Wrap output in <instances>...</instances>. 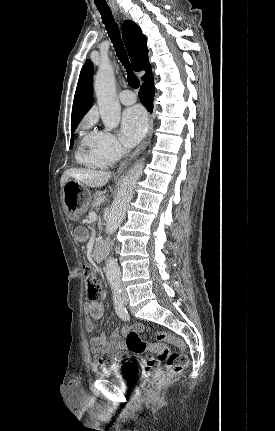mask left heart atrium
<instances>
[{"label":"left heart atrium","instance_id":"1","mask_svg":"<svg viewBox=\"0 0 275 431\" xmlns=\"http://www.w3.org/2000/svg\"><path fill=\"white\" fill-rule=\"evenodd\" d=\"M147 116L145 111L134 106L126 109L121 117V140L124 145L131 147L137 144L147 129Z\"/></svg>","mask_w":275,"mask_h":431}]
</instances>
